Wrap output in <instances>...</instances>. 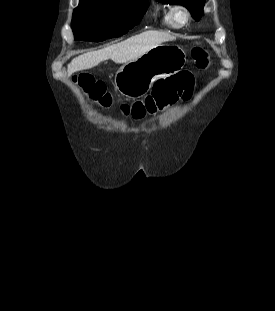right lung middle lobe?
I'll return each instance as SVG.
<instances>
[{
  "instance_id": "1",
  "label": "right lung middle lobe",
  "mask_w": 275,
  "mask_h": 311,
  "mask_svg": "<svg viewBox=\"0 0 275 311\" xmlns=\"http://www.w3.org/2000/svg\"><path fill=\"white\" fill-rule=\"evenodd\" d=\"M147 0L88 1L74 9L75 40L102 41L125 34L148 8Z\"/></svg>"
}]
</instances>
